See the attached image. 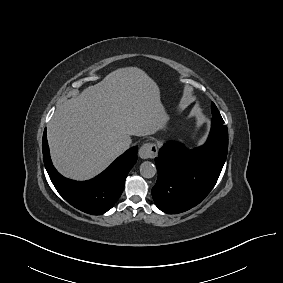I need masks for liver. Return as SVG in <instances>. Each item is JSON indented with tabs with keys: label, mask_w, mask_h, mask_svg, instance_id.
Masks as SVG:
<instances>
[{
	"label": "liver",
	"mask_w": 283,
	"mask_h": 283,
	"mask_svg": "<svg viewBox=\"0 0 283 283\" xmlns=\"http://www.w3.org/2000/svg\"><path fill=\"white\" fill-rule=\"evenodd\" d=\"M166 120L157 84L139 68L117 69L57 107L47 129L53 163L90 179L125 151L122 137L155 134Z\"/></svg>",
	"instance_id": "obj_1"
}]
</instances>
